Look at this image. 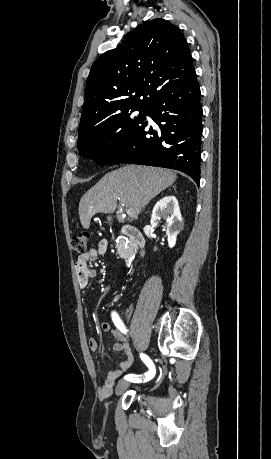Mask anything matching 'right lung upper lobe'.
<instances>
[{"label":"right lung upper lobe","mask_w":271,"mask_h":459,"mask_svg":"<svg viewBox=\"0 0 271 459\" xmlns=\"http://www.w3.org/2000/svg\"><path fill=\"white\" fill-rule=\"evenodd\" d=\"M194 73L180 29L164 19L146 21L93 63L81 122L148 106L156 96Z\"/></svg>","instance_id":"obj_1"}]
</instances>
